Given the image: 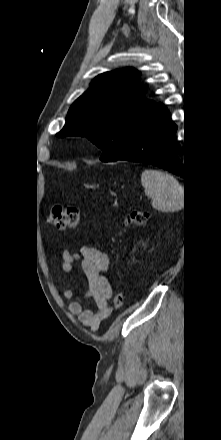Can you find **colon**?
I'll return each mask as SVG.
<instances>
[{
  "instance_id": "obj_1",
  "label": "colon",
  "mask_w": 221,
  "mask_h": 440,
  "mask_svg": "<svg viewBox=\"0 0 221 440\" xmlns=\"http://www.w3.org/2000/svg\"><path fill=\"white\" fill-rule=\"evenodd\" d=\"M82 218L81 211L74 206L55 205L51 208L47 222L50 226L58 229L74 228ZM147 213L144 211H132L125 215L124 225L127 227L139 226L145 223ZM125 303L123 293L117 292L113 297V308L119 310Z\"/></svg>"
}]
</instances>
